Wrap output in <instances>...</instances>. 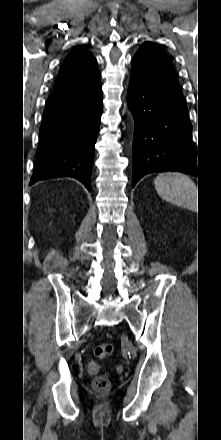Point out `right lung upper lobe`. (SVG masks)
<instances>
[{"mask_svg": "<svg viewBox=\"0 0 221 440\" xmlns=\"http://www.w3.org/2000/svg\"><path fill=\"white\" fill-rule=\"evenodd\" d=\"M100 79L97 61L80 48L70 53L64 60L54 90H64L91 85Z\"/></svg>", "mask_w": 221, "mask_h": 440, "instance_id": "1", "label": "right lung upper lobe"}]
</instances>
